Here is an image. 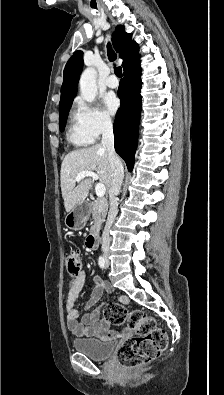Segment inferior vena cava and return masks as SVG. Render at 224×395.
<instances>
[{
  "label": "inferior vena cava",
  "instance_id": "1",
  "mask_svg": "<svg viewBox=\"0 0 224 395\" xmlns=\"http://www.w3.org/2000/svg\"><path fill=\"white\" fill-rule=\"evenodd\" d=\"M102 146L108 152L111 166V185L109 188V213L102 234V251L106 254L110 247V228L118 213V195L124 178L123 164L114 149V134L111 120L102 122Z\"/></svg>",
  "mask_w": 224,
  "mask_h": 395
}]
</instances>
